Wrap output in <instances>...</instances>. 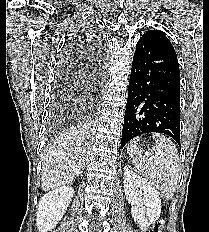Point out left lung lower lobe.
Returning a JSON list of instances; mask_svg holds the SVG:
<instances>
[{
    "instance_id": "left-lung-lower-lobe-1",
    "label": "left lung lower lobe",
    "mask_w": 209,
    "mask_h": 232,
    "mask_svg": "<svg viewBox=\"0 0 209 232\" xmlns=\"http://www.w3.org/2000/svg\"><path fill=\"white\" fill-rule=\"evenodd\" d=\"M180 70L175 51L161 40L140 39L133 57L121 147L157 132L180 145Z\"/></svg>"
}]
</instances>
